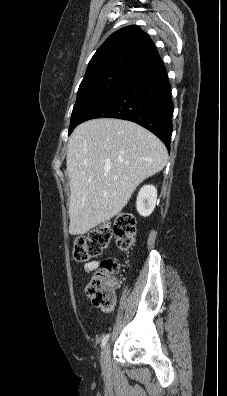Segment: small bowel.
Here are the masks:
<instances>
[{
    "label": "small bowel",
    "mask_w": 227,
    "mask_h": 396,
    "mask_svg": "<svg viewBox=\"0 0 227 396\" xmlns=\"http://www.w3.org/2000/svg\"><path fill=\"white\" fill-rule=\"evenodd\" d=\"M97 266H98L97 261H91L85 265V269H86V271H91V270L95 269Z\"/></svg>",
    "instance_id": "1"
}]
</instances>
